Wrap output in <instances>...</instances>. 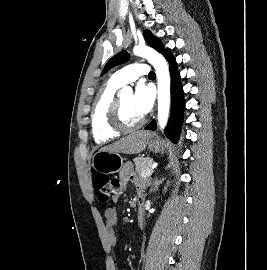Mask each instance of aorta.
I'll list each match as a JSON object with an SVG mask.
<instances>
[{
    "label": "aorta",
    "instance_id": "aorta-1",
    "mask_svg": "<svg viewBox=\"0 0 267 270\" xmlns=\"http://www.w3.org/2000/svg\"><path fill=\"white\" fill-rule=\"evenodd\" d=\"M133 53L143 57L154 67L157 75L158 87V121L161 130L167 124L170 109V74L167 61L154 49L145 45L135 46ZM121 94H132L131 87H124Z\"/></svg>",
    "mask_w": 267,
    "mask_h": 270
}]
</instances>
